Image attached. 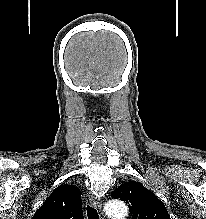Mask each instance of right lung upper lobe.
<instances>
[{
	"mask_svg": "<svg viewBox=\"0 0 206 219\" xmlns=\"http://www.w3.org/2000/svg\"><path fill=\"white\" fill-rule=\"evenodd\" d=\"M81 191L72 185L58 186L32 219H84Z\"/></svg>",
	"mask_w": 206,
	"mask_h": 219,
	"instance_id": "obj_1",
	"label": "right lung upper lobe"
}]
</instances>
